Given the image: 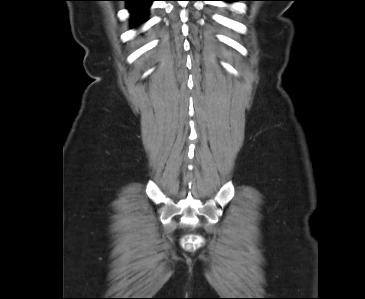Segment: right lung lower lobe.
<instances>
[{
  "mask_svg": "<svg viewBox=\"0 0 365 299\" xmlns=\"http://www.w3.org/2000/svg\"><path fill=\"white\" fill-rule=\"evenodd\" d=\"M132 14V24L137 26L145 21L148 7L154 0H124Z\"/></svg>",
  "mask_w": 365,
  "mask_h": 299,
  "instance_id": "right-lung-lower-lobe-1",
  "label": "right lung lower lobe"
}]
</instances>
